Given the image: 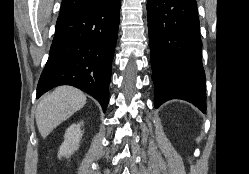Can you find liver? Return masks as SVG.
Returning <instances> with one entry per match:
<instances>
[{"label":"liver","instance_id":"1","mask_svg":"<svg viewBox=\"0 0 249 174\" xmlns=\"http://www.w3.org/2000/svg\"><path fill=\"white\" fill-rule=\"evenodd\" d=\"M86 103L85 94L71 86H60L45 95L36 109L39 133L46 138L59 124L80 110Z\"/></svg>","mask_w":249,"mask_h":174}]
</instances>
